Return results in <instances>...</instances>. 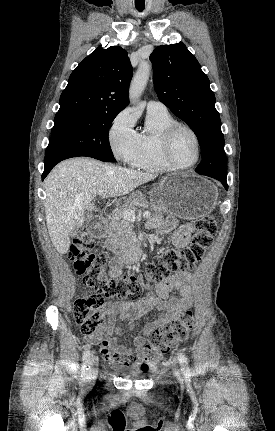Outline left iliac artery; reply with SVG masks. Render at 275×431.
Segmentation results:
<instances>
[{
    "instance_id": "left-iliac-artery-1",
    "label": "left iliac artery",
    "mask_w": 275,
    "mask_h": 431,
    "mask_svg": "<svg viewBox=\"0 0 275 431\" xmlns=\"http://www.w3.org/2000/svg\"><path fill=\"white\" fill-rule=\"evenodd\" d=\"M178 361L181 366V371L183 372V374L186 377H190L191 374H190L187 358L181 352L178 353Z\"/></svg>"
}]
</instances>
